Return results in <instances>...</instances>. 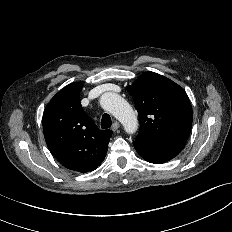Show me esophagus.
<instances>
[{"label":"esophagus","instance_id":"1","mask_svg":"<svg viewBox=\"0 0 232 232\" xmlns=\"http://www.w3.org/2000/svg\"><path fill=\"white\" fill-rule=\"evenodd\" d=\"M120 127V124H119V122H117V121H115L114 123H113V125H112V127H111V129H112V131H117L118 130V128Z\"/></svg>","mask_w":232,"mask_h":232}]
</instances>
